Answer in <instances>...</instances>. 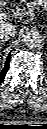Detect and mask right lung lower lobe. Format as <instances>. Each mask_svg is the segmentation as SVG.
<instances>
[{
	"label": "right lung lower lobe",
	"mask_w": 47,
	"mask_h": 129,
	"mask_svg": "<svg viewBox=\"0 0 47 129\" xmlns=\"http://www.w3.org/2000/svg\"><path fill=\"white\" fill-rule=\"evenodd\" d=\"M10 55H11V53H9V55H8V57H7V60H6V62H5V66H4V68L2 69V71L0 72V83L4 80L5 75H6V72H7L8 69H9Z\"/></svg>",
	"instance_id": "1"
}]
</instances>
